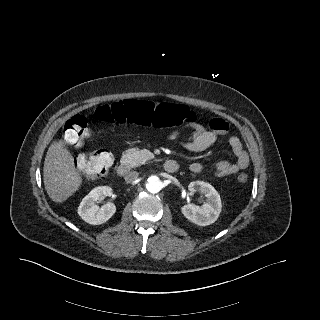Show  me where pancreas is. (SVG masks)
<instances>
[{
	"label": "pancreas",
	"instance_id": "pancreas-1",
	"mask_svg": "<svg viewBox=\"0 0 320 320\" xmlns=\"http://www.w3.org/2000/svg\"><path fill=\"white\" fill-rule=\"evenodd\" d=\"M146 160L147 158L144 157L141 151H139L137 148L127 149L122 154V161H124L131 168L144 164Z\"/></svg>",
	"mask_w": 320,
	"mask_h": 320
}]
</instances>
